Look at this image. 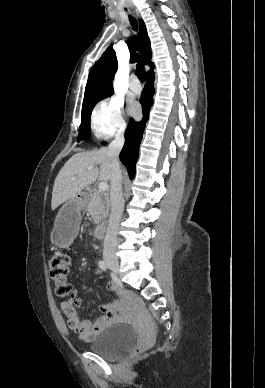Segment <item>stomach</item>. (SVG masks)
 <instances>
[{
  "label": "stomach",
  "instance_id": "0dacf381",
  "mask_svg": "<svg viewBox=\"0 0 265 388\" xmlns=\"http://www.w3.org/2000/svg\"><path fill=\"white\" fill-rule=\"evenodd\" d=\"M82 198L68 200L59 210L51 232V243L57 247L65 248L70 245L78 233Z\"/></svg>",
  "mask_w": 265,
  "mask_h": 388
}]
</instances>
